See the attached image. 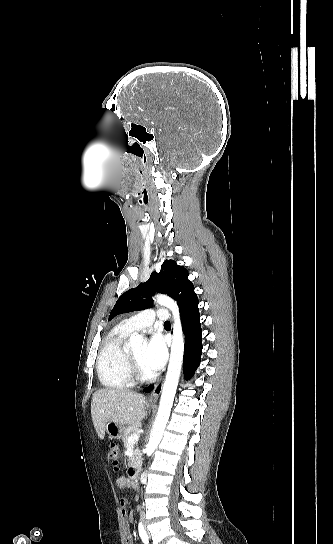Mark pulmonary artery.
Returning a JSON list of instances; mask_svg holds the SVG:
<instances>
[{
    "label": "pulmonary artery",
    "mask_w": 333,
    "mask_h": 544,
    "mask_svg": "<svg viewBox=\"0 0 333 544\" xmlns=\"http://www.w3.org/2000/svg\"><path fill=\"white\" fill-rule=\"evenodd\" d=\"M156 319L166 322L169 319L168 311L165 309H147L124 320L122 325L131 332L139 331L150 328Z\"/></svg>",
    "instance_id": "pulmonary-artery-1"
}]
</instances>
